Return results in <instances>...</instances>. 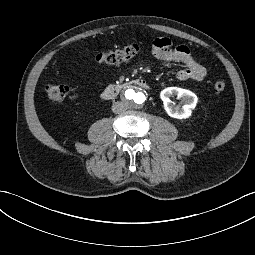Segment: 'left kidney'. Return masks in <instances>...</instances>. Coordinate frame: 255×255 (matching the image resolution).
I'll return each instance as SVG.
<instances>
[{
  "mask_svg": "<svg viewBox=\"0 0 255 255\" xmlns=\"http://www.w3.org/2000/svg\"><path fill=\"white\" fill-rule=\"evenodd\" d=\"M173 96H177L178 99L182 100L184 105L181 108L175 106L170 100V97ZM160 98L163 101L164 109L167 114L177 119L188 118L198 101L197 96L193 92L179 87L165 88L161 91Z\"/></svg>",
  "mask_w": 255,
  "mask_h": 255,
  "instance_id": "1",
  "label": "left kidney"
}]
</instances>
